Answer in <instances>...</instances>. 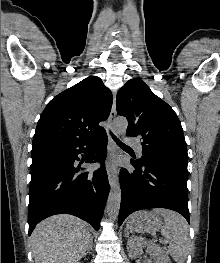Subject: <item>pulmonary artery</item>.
Segmentation results:
<instances>
[{"mask_svg": "<svg viewBox=\"0 0 220 263\" xmlns=\"http://www.w3.org/2000/svg\"><path fill=\"white\" fill-rule=\"evenodd\" d=\"M126 141L130 145L134 146L136 148V150H137L138 155L141 156V154H142V147H141L140 143L137 140H135L134 138H131V137H128L126 139Z\"/></svg>", "mask_w": 220, "mask_h": 263, "instance_id": "pulmonary-artery-1", "label": "pulmonary artery"}]
</instances>
